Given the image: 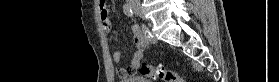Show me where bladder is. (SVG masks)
<instances>
[{
	"label": "bladder",
	"instance_id": "31cf9c89",
	"mask_svg": "<svg viewBox=\"0 0 279 82\" xmlns=\"http://www.w3.org/2000/svg\"><path fill=\"white\" fill-rule=\"evenodd\" d=\"M118 82H151V81L141 75H136V76H130V77L119 79Z\"/></svg>",
	"mask_w": 279,
	"mask_h": 82
}]
</instances>
